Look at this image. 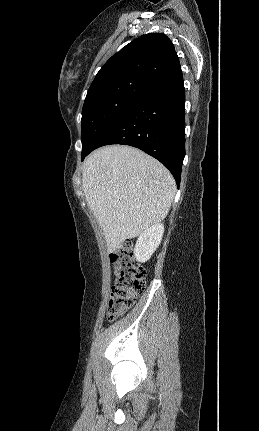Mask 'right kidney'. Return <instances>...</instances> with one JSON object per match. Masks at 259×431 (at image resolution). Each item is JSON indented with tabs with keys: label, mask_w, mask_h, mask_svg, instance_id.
<instances>
[{
	"label": "right kidney",
	"mask_w": 259,
	"mask_h": 431,
	"mask_svg": "<svg viewBox=\"0 0 259 431\" xmlns=\"http://www.w3.org/2000/svg\"><path fill=\"white\" fill-rule=\"evenodd\" d=\"M164 233V226L156 223L142 232L136 242L134 255L139 262H146L158 248Z\"/></svg>",
	"instance_id": "obj_1"
}]
</instances>
